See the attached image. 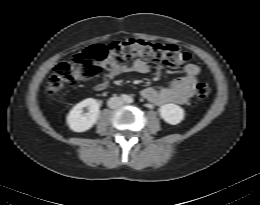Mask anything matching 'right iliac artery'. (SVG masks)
<instances>
[{"label":"right iliac artery","instance_id":"82829eb1","mask_svg":"<svg viewBox=\"0 0 260 205\" xmlns=\"http://www.w3.org/2000/svg\"><path fill=\"white\" fill-rule=\"evenodd\" d=\"M121 99L124 100V101H127L128 100V96L127 95H122Z\"/></svg>","mask_w":260,"mask_h":205}]
</instances>
